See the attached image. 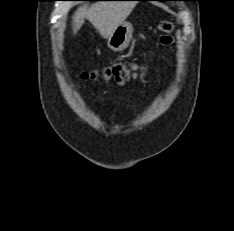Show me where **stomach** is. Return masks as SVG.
<instances>
[{"label": "stomach", "mask_w": 234, "mask_h": 231, "mask_svg": "<svg viewBox=\"0 0 234 231\" xmlns=\"http://www.w3.org/2000/svg\"><path fill=\"white\" fill-rule=\"evenodd\" d=\"M133 35V26L129 22L119 25L108 38L107 46L115 52L123 51L128 47Z\"/></svg>", "instance_id": "0dacf381"}]
</instances>
